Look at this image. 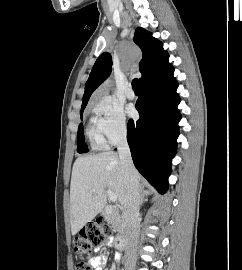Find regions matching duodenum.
<instances>
[{
    "label": "duodenum",
    "mask_w": 242,
    "mask_h": 270,
    "mask_svg": "<svg viewBox=\"0 0 242 270\" xmlns=\"http://www.w3.org/2000/svg\"><path fill=\"white\" fill-rule=\"evenodd\" d=\"M111 211H112L111 208H106L103 211H101L99 215L100 217L104 218L107 215H109ZM116 245L119 249H125L127 245V238L125 236H120L116 241Z\"/></svg>",
    "instance_id": "410a0bca"
}]
</instances>
